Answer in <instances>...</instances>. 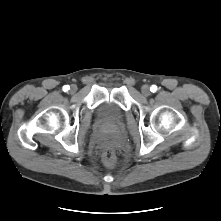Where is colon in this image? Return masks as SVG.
<instances>
[{"label": "colon", "mask_w": 221, "mask_h": 221, "mask_svg": "<svg viewBox=\"0 0 221 221\" xmlns=\"http://www.w3.org/2000/svg\"><path fill=\"white\" fill-rule=\"evenodd\" d=\"M102 157L104 162L109 165L112 166L115 164L116 162V153H115V149L112 146H106L103 149L102 152Z\"/></svg>", "instance_id": "1"}]
</instances>
